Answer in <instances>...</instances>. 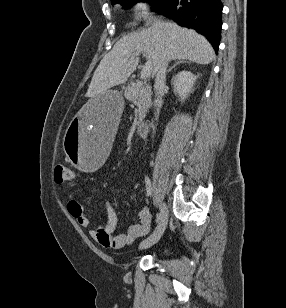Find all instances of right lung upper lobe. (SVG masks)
Returning <instances> with one entry per match:
<instances>
[{
	"label": "right lung upper lobe",
	"mask_w": 286,
	"mask_h": 308,
	"mask_svg": "<svg viewBox=\"0 0 286 308\" xmlns=\"http://www.w3.org/2000/svg\"><path fill=\"white\" fill-rule=\"evenodd\" d=\"M116 0H111L112 3H114Z\"/></svg>",
	"instance_id": "1"
}]
</instances>
